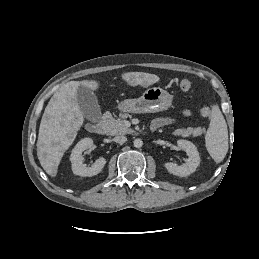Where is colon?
I'll list each match as a JSON object with an SVG mask.
<instances>
[{
  "mask_svg": "<svg viewBox=\"0 0 259 259\" xmlns=\"http://www.w3.org/2000/svg\"><path fill=\"white\" fill-rule=\"evenodd\" d=\"M179 88L186 92V91H189L190 88H191V82L189 79L187 78H182L180 81H179ZM200 114L203 118L205 119H209L211 117V110L210 108L208 107H203L201 110H200Z\"/></svg>",
  "mask_w": 259,
  "mask_h": 259,
  "instance_id": "1",
  "label": "colon"
}]
</instances>
